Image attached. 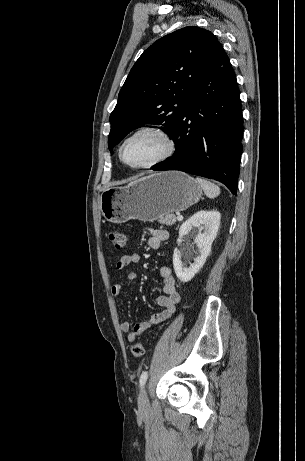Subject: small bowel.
Wrapping results in <instances>:
<instances>
[{
  "label": "small bowel",
  "instance_id": "obj_1",
  "mask_svg": "<svg viewBox=\"0 0 305 461\" xmlns=\"http://www.w3.org/2000/svg\"><path fill=\"white\" fill-rule=\"evenodd\" d=\"M150 237L148 239V246L152 250H159L162 243L168 240L169 233L165 229H150ZM141 261V256L138 253H131L124 255L117 262L116 268L118 271H127L130 267L138 265ZM159 275L162 279V291L163 294L157 298V303L162 307V310L151 315L147 320L137 323L131 328L128 321H122L120 324L121 331L126 335L128 341L132 342L137 339L138 336L152 328L153 326L167 320L172 316L176 306L181 301V295L177 290L175 279L172 275V271L167 266H162L159 270ZM130 280L136 279L134 272L128 273ZM123 291V285L116 283L111 288V294L113 297H120Z\"/></svg>",
  "mask_w": 305,
  "mask_h": 461
}]
</instances>
